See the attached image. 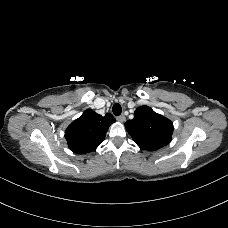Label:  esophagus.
I'll list each match as a JSON object with an SVG mask.
<instances>
[{
  "label": "esophagus",
  "mask_w": 228,
  "mask_h": 228,
  "mask_svg": "<svg viewBox=\"0 0 228 228\" xmlns=\"http://www.w3.org/2000/svg\"><path fill=\"white\" fill-rule=\"evenodd\" d=\"M116 119H117V121H119V122H124V121L126 120V118H125L124 115L117 116Z\"/></svg>",
  "instance_id": "1"
}]
</instances>
